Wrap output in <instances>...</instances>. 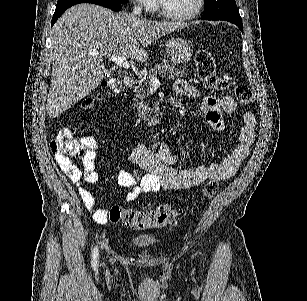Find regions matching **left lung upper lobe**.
I'll return each instance as SVG.
<instances>
[{
  "mask_svg": "<svg viewBox=\"0 0 307 301\" xmlns=\"http://www.w3.org/2000/svg\"><path fill=\"white\" fill-rule=\"evenodd\" d=\"M203 20L242 21L235 0H204Z\"/></svg>",
  "mask_w": 307,
  "mask_h": 301,
  "instance_id": "5c2ea615",
  "label": "left lung upper lobe"
}]
</instances>
